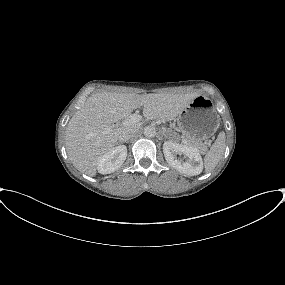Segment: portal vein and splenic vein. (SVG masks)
Returning <instances> with one entry per match:
<instances>
[{
    "mask_svg": "<svg viewBox=\"0 0 285 285\" xmlns=\"http://www.w3.org/2000/svg\"><path fill=\"white\" fill-rule=\"evenodd\" d=\"M142 119V117L138 114H132L128 118H125L120 125H128V124H135L139 122ZM108 131H105L107 133Z\"/></svg>",
    "mask_w": 285,
    "mask_h": 285,
    "instance_id": "18ae733b",
    "label": "portal vein and splenic vein"
}]
</instances>
